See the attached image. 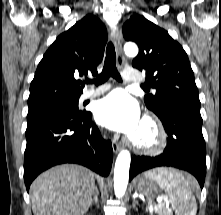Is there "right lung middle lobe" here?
Here are the masks:
<instances>
[{"instance_id":"obj_1","label":"right lung middle lobe","mask_w":221,"mask_h":215,"mask_svg":"<svg viewBox=\"0 0 221 215\" xmlns=\"http://www.w3.org/2000/svg\"><path fill=\"white\" fill-rule=\"evenodd\" d=\"M78 100L79 99H73L68 101L31 107L28 110L27 121L31 122L43 115L55 112H68L74 114L81 113L78 111Z\"/></svg>"}]
</instances>
